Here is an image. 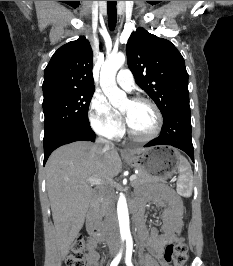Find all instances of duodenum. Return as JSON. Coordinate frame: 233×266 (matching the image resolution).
Returning <instances> with one entry per match:
<instances>
[{
  "instance_id": "410a0bca",
  "label": "duodenum",
  "mask_w": 233,
  "mask_h": 266,
  "mask_svg": "<svg viewBox=\"0 0 233 266\" xmlns=\"http://www.w3.org/2000/svg\"><path fill=\"white\" fill-rule=\"evenodd\" d=\"M133 213H134L135 222H137L142 216L141 208L138 205H135L133 207ZM87 227L89 234L95 240L104 241L107 239V232L100 221L98 192L94 194L90 204Z\"/></svg>"
}]
</instances>
